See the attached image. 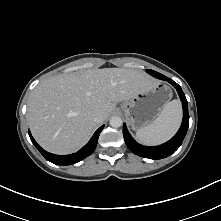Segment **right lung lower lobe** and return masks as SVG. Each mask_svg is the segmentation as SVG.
<instances>
[{"instance_id": "98d812e1", "label": "right lung lower lobe", "mask_w": 221, "mask_h": 221, "mask_svg": "<svg viewBox=\"0 0 221 221\" xmlns=\"http://www.w3.org/2000/svg\"><path fill=\"white\" fill-rule=\"evenodd\" d=\"M104 125L101 126L92 136V138L89 140V142L83 147L81 148L78 152L70 154V155H55V154H51L45 150H43L34 140V138L32 137L30 131L29 136L30 139L32 141V143L34 144V146L38 149V151L44 156V158L54 164L57 165H71V164H75L83 159H85L86 157H88L90 154H92V152L95 150L97 142H98V138L99 135L103 129Z\"/></svg>"}]
</instances>
